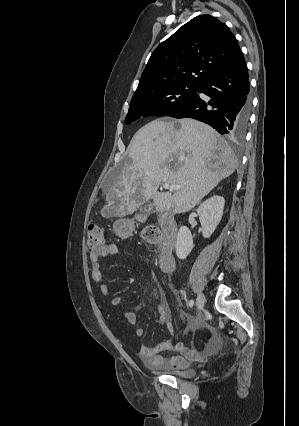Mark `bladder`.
<instances>
[{
	"instance_id": "bladder-1",
	"label": "bladder",
	"mask_w": 299,
	"mask_h": 426,
	"mask_svg": "<svg viewBox=\"0 0 299 426\" xmlns=\"http://www.w3.org/2000/svg\"><path fill=\"white\" fill-rule=\"evenodd\" d=\"M167 374L180 377V378H191L195 375V372L191 369H171L166 371Z\"/></svg>"
}]
</instances>
